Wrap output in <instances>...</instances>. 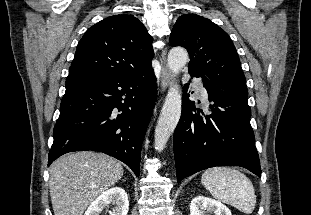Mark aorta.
I'll use <instances>...</instances> for the list:
<instances>
[{
	"mask_svg": "<svg viewBox=\"0 0 311 215\" xmlns=\"http://www.w3.org/2000/svg\"><path fill=\"white\" fill-rule=\"evenodd\" d=\"M189 55L186 49L174 47L168 53L167 64L174 77L188 62ZM182 98L176 84H173L165 98L154 135L155 148L161 152L174 132L181 116Z\"/></svg>",
	"mask_w": 311,
	"mask_h": 215,
	"instance_id": "762f6f07",
	"label": "aorta"
}]
</instances>
